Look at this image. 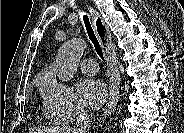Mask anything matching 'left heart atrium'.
<instances>
[{
    "instance_id": "left-heart-atrium-1",
    "label": "left heart atrium",
    "mask_w": 184,
    "mask_h": 133,
    "mask_svg": "<svg viewBox=\"0 0 184 133\" xmlns=\"http://www.w3.org/2000/svg\"><path fill=\"white\" fill-rule=\"evenodd\" d=\"M80 102L89 108H99L107 98L105 85L97 79H85L78 86Z\"/></svg>"
}]
</instances>
